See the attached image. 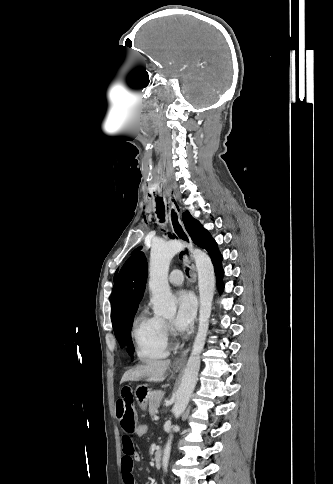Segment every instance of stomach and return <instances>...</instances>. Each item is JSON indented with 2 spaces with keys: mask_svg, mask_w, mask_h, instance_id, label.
I'll list each match as a JSON object with an SVG mask.
<instances>
[{
  "mask_svg": "<svg viewBox=\"0 0 333 484\" xmlns=\"http://www.w3.org/2000/svg\"><path fill=\"white\" fill-rule=\"evenodd\" d=\"M173 370L175 372H178L180 370V368L179 367H173ZM134 394H135V397H136V400H137L139 406L142 409H146V407L148 405V399H149V396L151 394V390L149 389L148 385L147 384L138 385L136 387Z\"/></svg>",
  "mask_w": 333,
  "mask_h": 484,
  "instance_id": "0dacf381",
  "label": "stomach"
}]
</instances>
